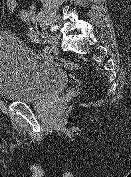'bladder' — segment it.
<instances>
[{"label": "bladder", "mask_w": 131, "mask_h": 177, "mask_svg": "<svg viewBox=\"0 0 131 177\" xmlns=\"http://www.w3.org/2000/svg\"><path fill=\"white\" fill-rule=\"evenodd\" d=\"M70 79L65 70L28 48L14 32L0 33V97L39 103L59 95Z\"/></svg>", "instance_id": "obj_1"}]
</instances>
